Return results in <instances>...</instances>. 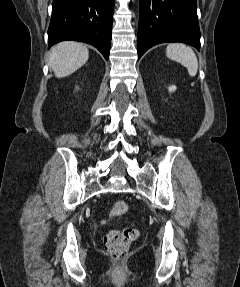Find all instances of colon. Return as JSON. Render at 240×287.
<instances>
[{
    "label": "colon",
    "instance_id": "colon-1",
    "mask_svg": "<svg viewBox=\"0 0 240 287\" xmlns=\"http://www.w3.org/2000/svg\"><path fill=\"white\" fill-rule=\"evenodd\" d=\"M128 212V205L124 201L115 202L110 209V217L118 218ZM136 229L127 227L122 230H112L104 238L106 252L116 261H121L128 253L131 243L137 238Z\"/></svg>",
    "mask_w": 240,
    "mask_h": 287
}]
</instances>
